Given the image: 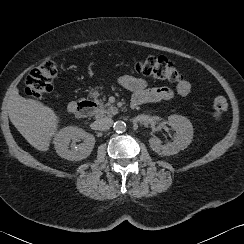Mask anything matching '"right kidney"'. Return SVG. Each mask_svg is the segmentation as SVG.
Returning <instances> with one entry per match:
<instances>
[{
    "label": "right kidney",
    "instance_id": "1",
    "mask_svg": "<svg viewBox=\"0 0 244 244\" xmlns=\"http://www.w3.org/2000/svg\"><path fill=\"white\" fill-rule=\"evenodd\" d=\"M80 140H83V143L76 145ZM53 143L57 154L62 158L80 161L91 154L95 138L79 127L68 126L55 134Z\"/></svg>",
    "mask_w": 244,
    "mask_h": 244
}]
</instances>
